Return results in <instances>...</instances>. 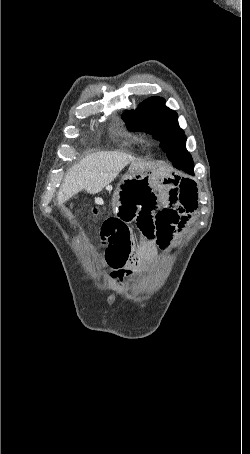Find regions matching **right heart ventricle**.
<instances>
[{
    "label": "right heart ventricle",
    "instance_id": "1",
    "mask_svg": "<svg viewBox=\"0 0 250 454\" xmlns=\"http://www.w3.org/2000/svg\"><path fill=\"white\" fill-rule=\"evenodd\" d=\"M124 136L126 138H128L129 140H131L132 142H134V143H141L142 142L140 137H138V136H136V135H134L132 133L126 132V133H124Z\"/></svg>",
    "mask_w": 250,
    "mask_h": 454
}]
</instances>
